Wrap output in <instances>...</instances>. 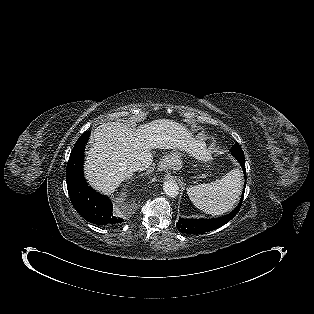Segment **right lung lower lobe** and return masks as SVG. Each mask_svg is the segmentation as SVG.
<instances>
[{
    "label": "right lung lower lobe",
    "instance_id": "right-lung-lower-lobe-1",
    "mask_svg": "<svg viewBox=\"0 0 314 314\" xmlns=\"http://www.w3.org/2000/svg\"><path fill=\"white\" fill-rule=\"evenodd\" d=\"M89 136L90 131L77 140L67 164L66 182L71 202L76 211L93 224L113 225L123 222L120 213L113 211L109 198L90 188L84 179V148Z\"/></svg>",
    "mask_w": 314,
    "mask_h": 314
}]
</instances>
